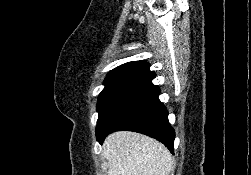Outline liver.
Instances as JSON below:
<instances>
[{"instance_id":"liver-1","label":"liver","mask_w":251,"mask_h":175,"mask_svg":"<svg viewBox=\"0 0 251 175\" xmlns=\"http://www.w3.org/2000/svg\"><path fill=\"white\" fill-rule=\"evenodd\" d=\"M108 175H169L173 157L153 137L135 131H115L103 143Z\"/></svg>"}]
</instances>
